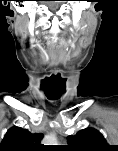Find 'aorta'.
<instances>
[{"label": "aorta", "mask_w": 118, "mask_h": 151, "mask_svg": "<svg viewBox=\"0 0 118 151\" xmlns=\"http://www.w3.org/2000/svg\"><path fill=\"white\" fill-rule=\"evenodd\" d=\"M42 142L44 145H57V137L55 134H48Z\"/></svg>", "instance_id": "762f6f07"}]
</instances>
